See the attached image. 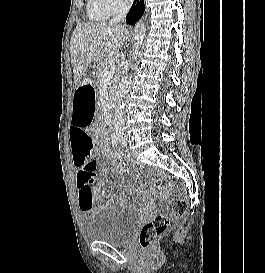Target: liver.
I'll return each mask as SVG.
<instances>
[{
    "mask_svg": "<svg viewBox=\"0 0 265 273\" xmlns=\"http://www.w3.org/2000/svg\"><path fill=\"white\" fill-rule=\"evenodd\" d=\"M130 33L124 26L110 22H90L77 25L70 42L71 62L76 86L87 75L88 68L104 57L119 55Z\"/></svg>",
    "mask_w": 265,
    "mask_h": 273,
    "instance_id": "obj_1",
    "label": "liver"
}]
</instances>
